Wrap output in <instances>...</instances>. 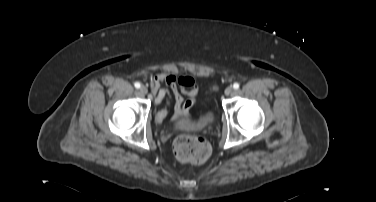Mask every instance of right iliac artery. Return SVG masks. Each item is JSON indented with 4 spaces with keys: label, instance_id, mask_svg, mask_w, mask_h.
<instances>
[{
    "label": "right iliac artery",
    "instance_id": "right-iliac-artery-1",
    "mask_svg": "<svg viewBox=\"0 0 376 202\" xmlns=\"http://www.w3.org/2000/svg\"><path fill=\"white\" fill-rule=\"evenodd\" d=\"M134 85H135V87H136L137 89H139L140 86H141L139 82H136Z\"/></svg>",
    "mask_w": 376,
    "mask_h": 202
}]
</instances>
